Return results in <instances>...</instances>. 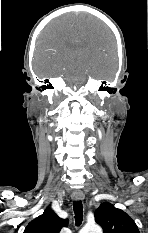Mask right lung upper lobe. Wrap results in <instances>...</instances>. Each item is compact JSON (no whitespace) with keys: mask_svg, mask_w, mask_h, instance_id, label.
I'll use <instances>...</instances> for the list:
<instances>
[{"mask_svg":"<svg viewBox=\"0 0 148 233\" xmlns=\"http://www.w3.org/2000/svg\"><path fill=\"white\" fill-rule=\"evenodd\" d=\"M68 225L67 219H60L49 207L44 213L32 220L24 233H59L63 226Z\"/></svg>","mask_w":148,"mask_h":233,"instance_id":"obj_1","label":"right lung upper lobe"}]
</instances>
